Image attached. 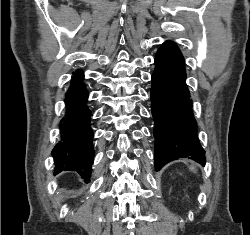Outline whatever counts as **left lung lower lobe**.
<instances>
[{"label":"left lung lower lobe","mask_w":250,"mask_h":235,"mask_svg":"<svg viewBox=\"0 0 250 235\" xmlns=\"http://www.w3.org/2000/svg\"><path fill=\"white\" fill-rule=\"evenodd\" d=\"M189 96L183 55L174 42L166 41L157 51L152 74L156 170L179 158L206 162Z\"/></svg>","instance_id":"0a47b994"}]
</instances>
